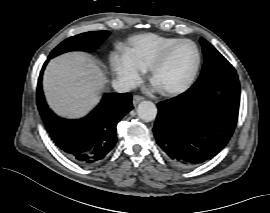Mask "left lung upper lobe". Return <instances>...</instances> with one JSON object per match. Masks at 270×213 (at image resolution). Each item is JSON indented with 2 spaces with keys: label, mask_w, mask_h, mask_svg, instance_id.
Returning a JSON list of instances; mask_svg holds the SVG:
<instances>
[{
  "label": "left lung upper lobe",
  "mask_w": 270,
  "mask_h": 213,
  "mask_svg": "<svg viewBox=\"0 0 270 213\" xmlns=\"http://www.w3.org/2000/svg\"><path fill=\"white\" fill-rule=\"evenodd\" d=\"M200 43L205 61L200 77L190 89L207 83L227 71L234 70L233 66L208 41L201 38Z\"/></svg>",
  "instance_id": "left-lung-upper-lobe-1"
}]
</instances>
